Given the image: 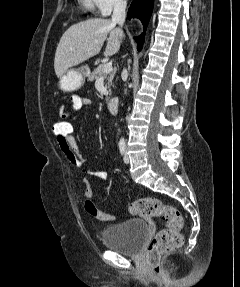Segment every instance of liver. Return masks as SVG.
Wrapping results in <instances>:
<instances>
[{"label": "liver", "mask_w": 240, "mask_h": 287, "mask_svg": "<svg viewBox=\"0 0 240 287\" xmlns=\"http://www.w3.org/2000/svg\"><path fill=\"white\" fill-rule=\"evenodd\" d=\"M108 35L105 55H113L120 48L123 32L110 19H88L68 28L55 53L54 69L57 77H61L70 67L97 55Z\"/></svg>", "instance_id": "obj_1"}]
</instances>
